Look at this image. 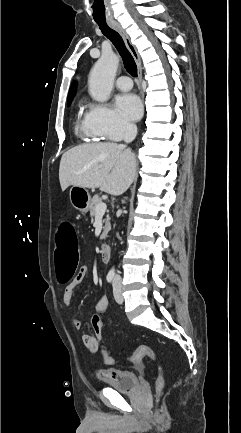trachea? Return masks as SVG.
I'll return each instance as SVG.
<instances>
[{"instance_id":"3493384b","label":"trachea","mask_w":241,"mask_h":433,"mask_svg":"<svg viewBox=\"0 0 241 433\" xmlns=\"http://www.w3.org/2000/svg\"><path fill=\"white\" fill-rule=\"evenodd\" d=\"M93 11V22L96 24V26H99L101 32L104 36H106L116 47L119 54L121 55L123 59V63L125 66V69L129 74H131L134 77H137V65L135 63V60L131 53L127 50L124 41L120 34L108 26L105 19V8L106 5L103 2H95L92 5Z\"/></svg>"}]
</instances>
